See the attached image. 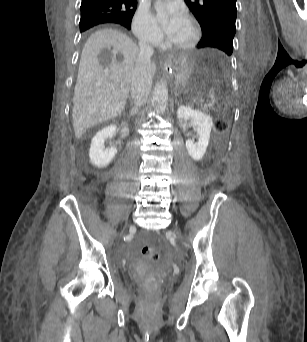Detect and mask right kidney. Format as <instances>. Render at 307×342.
<instances>
[{"label":"right kidney","instance_id":"obj_1","mask_svg":"<svg viewBox=\"0 0 307 342\" xmlns=\"http://www.w3.org/2000/svg\"><path fill=\"white\" fill-rule=\"evenodd\" d=\"M117 126H107L95 134L91 140L89 158L95 168H106L117 154V148H107L104 150V142L107 138L116 136Z\"/></svg>","mask_w":307,"mask_h":342}]
</instances>
